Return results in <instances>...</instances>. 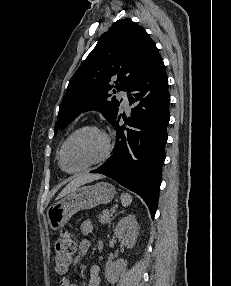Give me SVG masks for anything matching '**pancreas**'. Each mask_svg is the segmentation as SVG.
I'll return each mask as SVG.
<instances>
[{
  "label": "pancreas",
  "instance_id": "pancreas-1",
  "mask_svg": "<svg viewBox=\"0 0 231 286\" xmlns=\"http://www.w3.org/2000/svg\"><path fill=\"white\" fill-rule=\"evenodd\" d=\"M112 216H113V212H109V211H107V210H104V211L102 212V214H100V215L98 216V221H99L101 224L110 223Z\"/></svg>",
  "mask_w": 231,
  "mask_h": 286
}]
</instances>
